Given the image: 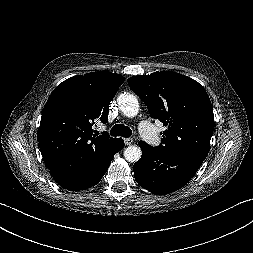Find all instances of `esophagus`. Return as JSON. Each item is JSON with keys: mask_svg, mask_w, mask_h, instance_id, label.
<instances>
[{"mask_svg": "<svg viewBox=\"0 0 253 253\" xmlns=\"http://www.w3.org/2000/svg\"><path fill=\"white\" fill-rule=\"evenodd\" d=\"M124 143H125V145H131L133 143V139L132 138H124Z\"/></svg>", "mask_w": 253, "mask_h": 253, "instance_id": "1", "label": "esophagus"}]
</instances>
